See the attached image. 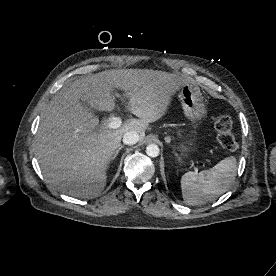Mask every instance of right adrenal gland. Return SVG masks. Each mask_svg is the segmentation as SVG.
Returning a JSON list of instances; mask_svg holds the SVG:
<instances>
[{"instance_id":"right-adrenal-gland-1","label":"right adrenal gland","mask_w":276,"mask_h":276,"mask_svg":"<svg viewBox=\"0 0 276 276\" xmlns=\"http://www.w3.org/2000/svg\"><path fill=\"white\" fill-rule=\"evenodd\" d=\"M123 145H120V147L117 149V151L115 152L114 156L112 159H115V157L118 155L119 151L123 148Z\"/></svg>"}]
</instances>
